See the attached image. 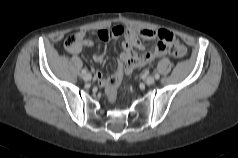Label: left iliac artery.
I'll use <instances>...</instances> for the list:
<instances>
[{"instance_id": "left-iliac-artery-1", "label": "left iliac artery", "mask_w": 238, "mask_h": 158, "mask_svg": "<svg viewBox=\"0 0 238 158\" xmlns=\"http://www.w3.org/2000/svg\"><path fill=\"white\" fill-rule=\"evenodd\" d=\"M155 78L158 80L160 78V75L158 73H155Z\"/></svg>"}]
</instances>
